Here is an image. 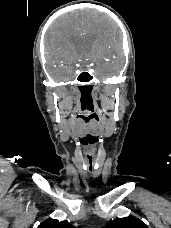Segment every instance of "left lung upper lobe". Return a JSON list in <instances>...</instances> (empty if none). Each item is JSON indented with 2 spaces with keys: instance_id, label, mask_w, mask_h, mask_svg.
Wrapping results in <instances>:
<instances>
[{
  "instance_id": "left-lung-upper-lobe-1",
  "label": "left lung upper lobe",
  "mask_w": 171,
  "mask_h": 228,
  "mask_svg": "<svg viewBox=\"0 0 171 228\" xmlns=\"http://www.w3.org/2000/svg\"><path fill=\"white\" fill-rule=\"evenodd\" d=\"M106 228H148L140 219L129 216L110 221Z\"/></svg>"
}]
</instances>
